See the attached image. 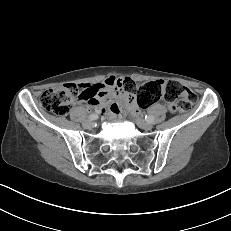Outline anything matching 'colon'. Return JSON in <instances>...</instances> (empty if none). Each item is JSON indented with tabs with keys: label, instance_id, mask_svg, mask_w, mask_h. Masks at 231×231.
Listing matches in <instances>:
<instances>
[{
	"label": "colon",
	"instance_id": "colon-1",
	"mask_svg": "<svg viewBox=\"0 0 231 231\" xmlns=\"http://www.w3.org/2000/svg\"><path fill=\"white\" fill-rule=\"evenodd\" d=\"M124 92L136 95L140 107H148L165 100L172 112L190 110L197 96L176 81L155 80L137 85L130 79H124L118 85ZM89 92L76 84H65L61 87L44 91L39 103L45 110L65 116L76 101H80Z\"/></svg>",
	"mask_w": 231,
	"mask_h": 231
}]
</instances>
